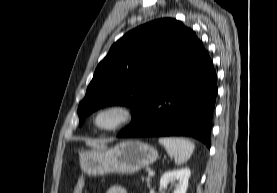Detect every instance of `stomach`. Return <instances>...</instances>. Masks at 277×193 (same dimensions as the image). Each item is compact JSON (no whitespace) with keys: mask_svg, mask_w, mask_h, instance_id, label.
Wrapping results in <instances>:
<instances>
[{"mask_svg":"<svg viewBox=\"0 0 277 193\" xmlns=\"http://www.w3.org/2000/svg\"><path fill=\"white\" fill-rule=\"evenodd\" d=\"M157 158V150L139 140H128L112 148H94L79 153L82 171L93 176L133 174L155 162Z\"/></svg>","mask_w":277,"mask_h":193,"instance_id":"1","label":"stomach"}]
</instances>
